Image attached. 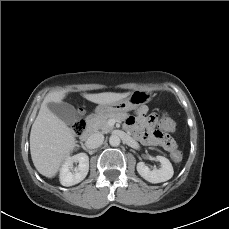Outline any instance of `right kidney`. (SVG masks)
<instances>
[{
  "label": "right kidney",
  "instance_id": "right-kidney-1",
  "mask_svg": "<svg viewBox=\"0 0 229 229\" xmlns=\"http://www.w3.org/2000/svg\"><path fill=\"white\" fill-rule=\"evenodd\" d=\"M75 162H78L79 165L74 168ZM88 171L89 157L86 153L68 157L60 169V183L66 187L78 184L87 176Z\"/></svg>",
  "mask_w": 229,
  "mask_h": 229
}]
</instances>
